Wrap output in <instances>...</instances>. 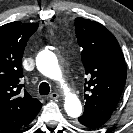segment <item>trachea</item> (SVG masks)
Listing matches in <instances>:
<instances>
[{
    "label": "trachea",
    "mask_w": 133,
    "mask_h": 133,
    "mask_svg": "<svg viewBox=\"0 0 133 133\" xmlns=\"http://www.w3.org/2000/svg\"><path fill=\"white\" fill-rule=\"evenodd\" d=\"M50 92V86L46 82H42L39 86L40 95H48Z\"/></svg>",
    "instance_id": "trachea-1"
}]
</instances>
